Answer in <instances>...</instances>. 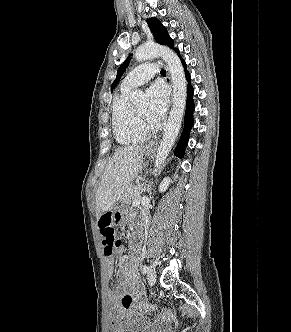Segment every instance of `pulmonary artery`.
Listing matches in <instances>:
<instances>
[{
	"label": "pulmonary artery",
	"instance_id": "1",
	"mask_svg": "<svg viewBox=\"0 0 291 332\" xmlns=\"http://www.w3.org/2000/svg\"><path fill=\"white\" fill-rule=\"evenodd\" d=\"M160 72V66L157 63H143L132 69L122 81V88L132 89L154 77L155 74Z\"/></svg>",
	"mask_w": 291,
	"mask_h": 332
}]
</instances>
